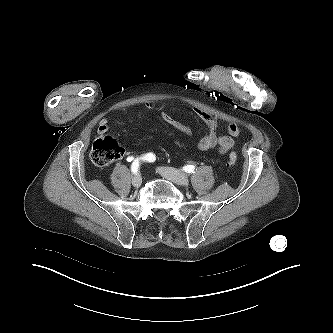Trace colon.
<instances>
[{"instance_id": "5ec220e1", "label": "colon", "mask_w": 333, "mask_h": 333, "mask_svg": "<svg viewBox=\"0 0 333 333\" xmlns=\"http://www.w3.org/2000/svg\"><path fill=\"white\" fill-rule=\"evenodd\" d=\"M140 120L147 119L145 116L139 118ZM124 155V149L112 138L103 137L94 141L90 150L91 162L99 167L106 166ZM237 161V155L235 152H231L229 155V165L234 166Z\"/></svg>"}]
</instances>
